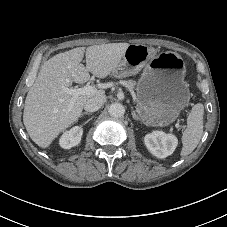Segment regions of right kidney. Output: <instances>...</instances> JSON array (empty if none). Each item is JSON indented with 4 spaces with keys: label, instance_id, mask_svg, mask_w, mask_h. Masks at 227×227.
Returning a JSON list of instances; mask_svg holds the SVG:
<instances>
[{
    "label": "right kidney",
    "instance_id": "ca27d5eb",
    "mask_svg": "<svg viewBox=\"0 0 227 227\" xmlns=\"http://www.w3.org/2000/svg\"><path fill=\"white\" fill-rule=\"evenodd\" d=\"M82 134V127L74 126L70 130L63 133L60 137L59 144L63 149H70L79 144Z\"/></svg>",
    "mask_w": 227,
    "mask_h": 227
}]
</instances>
